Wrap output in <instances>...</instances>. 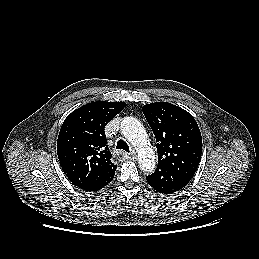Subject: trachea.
I'll use <instances>...</instances> for the list:
<instances>
[{
  "instance_id": "obj_1",
  "label": "trachea",
  "mask_w": 259,
  "mask_h": 259,
  "mask_svg": "<svg viewBox=\"0 0 259 259\" xmlns=\"http://www.w3.org/2000/svg\"><path fill=\"white\" fill-rule=\"evenodd\" d=\"M116 149L124 150L126 152L130 151L128 144L124 140H122V139H120L117 142Z\"/></svg>"
}]
</instances>
